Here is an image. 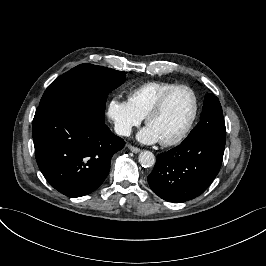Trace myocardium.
I'll use <instances>...</instances> for the list:
<instances>
[{"instance_id": "obj_1", "label": "myocardium", "mask_w": 266, "mask_h": 266, "mask_svg": "<svg viewBox=\"0 0 266 266\" xmlns=\"http://www.w3.org/2000/svg\"><path fill=\"white\" fill-rule=\"evenodd\" d=\"M178 89H186L192 94L193 99H194V112H193V115H192L190 121L188 122V124L175 138L160 140V142L166 146H172V145L179 144L180 142L183 141L184 138H186V136L192 130V128H193V126H194V124L198 118L199 110H200V103H199V98H198L197 92L190 85L176 84L173 87L167 89L165 92H163L160 95L158 100L153 104V106L149 109V111L147 112V114L145 116L146 122L149 124L150 119L154 115L160 113L163 110V108H164L168 98L170 97V95Z\"/></svg>"}]
</instances>
